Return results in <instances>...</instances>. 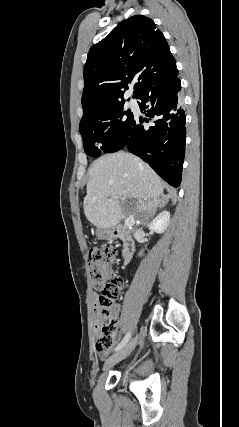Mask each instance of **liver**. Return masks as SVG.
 <instances>
[{
	"label": "liver",
	"instance_id": "obj_1",
	"mask_svg": "<svg viewBox=\"0 0 239 427\" xmlns=\"http://www.w3.org/2000/svg\"><path fill=\"white\" fill-rule=\"evenodd\" d=\"M163 190L161 178L138 157L123 151L107 154L89 168L84 214L97 228L112 229L131 214L124 211L120 200L137 199L133 215L150 213L164 205L160 199L164 197Z\"/></svg>",
	"mask_w": 239,
	"mask_h": 427
}]
</instances>
